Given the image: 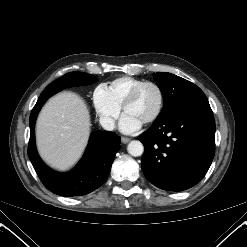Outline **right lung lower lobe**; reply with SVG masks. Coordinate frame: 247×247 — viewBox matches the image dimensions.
Here are the masks:
<instances>
[{
  "label": "right lung lower lobe",
  "mask_w": 247,
  "mask_h": 247,
  "mask_svg": "<svg viewBox=\"0 0 247 247\" xmlns=\"http://www.w3.org/2000/svg\"><path fill=\"white\" fill-rule=\"evenodd\" d=\"M57 92L59 91L45 90L31 112L28 156L48 190L60 196L85 195L97 189L108 178L115 155L120 149V137L112 132H93L84 156L73 170L58 173L50 169L36 151L34 129L41 107Z\"/></svg>",
  "instance_id": "98d812e1"
}]
</instances>
